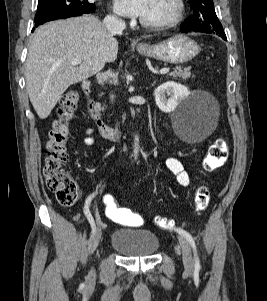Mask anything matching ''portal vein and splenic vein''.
Listing matches in <instances>:
<instances>
[{"label":"portal vein and splenic vein","mask_w":267,"mask_h":301,"mask_svg":"<svg viewBox=\"0 0 267 301\" xmlns=\"http://www.w3.org/2000/svg\"><path fill=\"white\" fill-rule=\"evenodd\" d=\"M81 59L80 58H77V59H74L73 61H72V65H78V64H80L81 63ZM170 71V69L169 68H162V69H160L159 70V74H167L168 72Z\"/></svg>","instance_id":"18ae733b"}]
</instances>
